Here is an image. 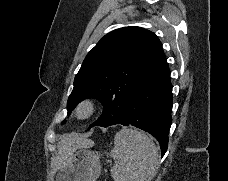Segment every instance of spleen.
<instances>
[{
  "instance_id": "3e777b00",
  "label": "spleen",
  "mask_w": 228,
  "mask_h": 181,
  "mask_svg": "<svg viewBox=\"0 0 228 181\" xmlns=\"http://www.w3.org/2000/svg\"><path fill=\"white\" fill-rule=\"evenodd\" d=\"M107 155L115 161L111 167L113 181H147L155 177L159 167L155 143L137 129L123 127L116 133L114 149Z\"/></svg>"
}]
</instances>
